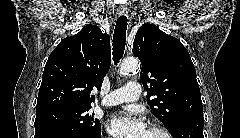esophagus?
<instances>
[{"label": "esophagus", "mask_w": 240, "mask_h": 138, "mask_svg": "<svg viewBox=\"0 0 240 138\" xmlns=\"http://www.w3.org/2000/svg\"><path fill=\"white\" fill-rule=\"evenodd\" d=\"M127 12V7L126 5H120L118 9V14L119 15H125Z\"/></svg>", "instance_id": "34e87169"}]
</instances>
